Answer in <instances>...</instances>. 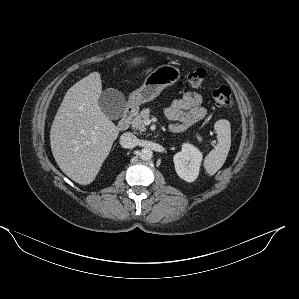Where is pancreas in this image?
Masks as SVG:
<instances>
[{
  "label": "pancreas",
  "mask_w": 299,
  "mask_h": 299,
  "mask_svg": "<svg viewBox=\"0 0 299 299\" xmlns=\"http://www.w3.org/2000/svg\"><path fill=\"white\" fill-rule=\"evenodd\" d=\"M150 110L143 109L139 114H137L132 120H131V126L133 129L139 130L140 132L146 131V125L145 120H147L150 116ZM196 138L199 142L202 141V136L199 134L196 135Z\"/></svg>",
  "instance_id": "obj_1"
}]
</instances>
